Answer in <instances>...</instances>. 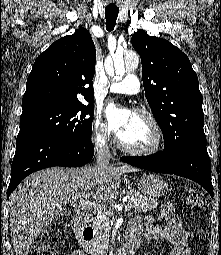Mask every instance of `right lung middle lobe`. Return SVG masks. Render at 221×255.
Instances as JSON below:
<instances>
[{"label": "right lung middle lobe", "mask_w": 221, "mask_h": 255, "mask_svg": "<svg viewBox=\"0 0 221 255\" xmlns=\"http://www.w3.org/2000/svg\"><path fill=\"white\" fill-rule=\"evenodd\" d=\"M94 109L90 103L50 104L23 110L20 131H35L72 141H90Z\"/></svg>", "instance_id": "1"}]
</instances>
